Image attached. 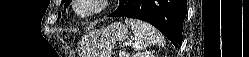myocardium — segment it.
I'll use <instances>...</instances> for the list:
<instances>
[{
  "label": "myocardium",
  "mask_w": 249,
  "mask_h": 57,
  "mask_svg": "<svg viewBox=\"0 0 249 57\" xmlns=\"http://www.w3.org/2000/svg\"><path fill=\"white\" fill-rule=\"evenodd\" d=\"M87 1H92L94 8L90 11H83L81 7ZM110 2V0H74L72 2V10L78 17L88 18L105 11L108 8Z\"/></svg>",
  "instance_id": "f54148a6"
}]
</instances>
